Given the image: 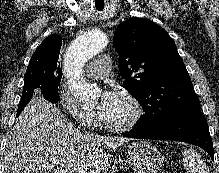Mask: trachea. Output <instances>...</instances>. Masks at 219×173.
Instances as JSON below:
<instances>
[{
  "instance_id": "3493384b",
  "label": "trachea",
  "mask_w": 219,
  "mask_h": 173,
  "mask_svg": "<svg viewBox=\"0 0 219 173\" xmlns=\"http://www.w3.org/2000/svg\"><path fill=\"white\" fill-rule=\"evenodd\" d=\"M97 10H100V11H101V10H103V8H97Z\"/></svg>"
}]
</instances>
